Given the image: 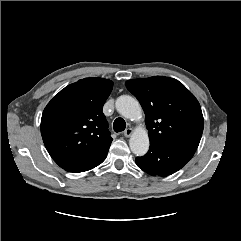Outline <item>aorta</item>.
Wrapping results in <instances>:
<instances>
[{
	"mask_svg": "<svg viewBox=\"0 0 241 241\" xmlns=\"http://www.w3.org/2000/svg\"><path fill=\"white\" fill-rule=\"evenodd\" d=\"M115 105L117 111L125 118L138 120L142 116V108L139 102L129 95L118 97ZM129 146L136 156L145 155L149 149V137L147 131L144 129L136 130L130 137Z\"/></svg>",
	"mask_w": 241,
	"mask_h": 241,
	"instance_id": "762f6f07",
	"label": "aorta"
}]
</instances>
